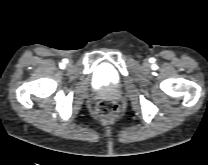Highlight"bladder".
<instances>
[{
    "label": "bladder",
    "instance_id": "bladder-1",
    "mask_svg": "<svg viewBox=\"0 0 208 165\" xmlns=\"http://www.w3.org/2000/svg\"><path fill=\"white\" fill-rule=\"evenodd\" d=\"M93 83L99 88L116 87L120 84V78L113 67L110 65H102L95 72Z\"/></svg>",
    "mask_w": 208,
    "mask_h": 165
}]
</instances>
